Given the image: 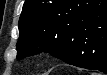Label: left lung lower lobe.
Returning a JSON list of instances; mask_svg holds the SVG:
<instances>
[{
    "label": "left lung lower lobe",
    "mask_w": 107,
    "mask_h": 75,
    "mask_svg": "<svg viewBox=\"0 0 107 75\" xmlns=\"http://www.w3.org/2000/svg\"><path fill=\"white\" fill-rule=\"evenodd\" d=\"M98 5L79 23L73 45L56 57L68 64L107 73V0H93Z\"/></svg>",
    "instance_id": "left-lung-lower-lobe-1"
}]
</instances>
